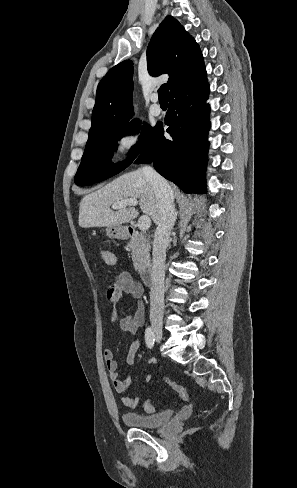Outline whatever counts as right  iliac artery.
Here are the masks:
<instances>
[{
    "label": "right iliac artery",
    "mask_w": 297,
    "mask_h": 488,
    "mask_svg": "<svg viewBox=\"0 0 297 488\" xmlns=\"http://www.w3.org/2000/svg\"><path fill=\"white\" fill-rule=\"evenodd\" d=\"M145 342L148 348H152L155 342V335L151 327H147L145 331Z\"/></svg>",
    "instance_id": "right-iliac-artery-1"
}]
</instances>
